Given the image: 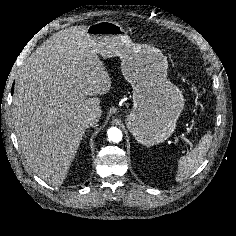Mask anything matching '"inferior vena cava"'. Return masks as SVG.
<instances>
[{"label": "inferior vena cava", "mask_w": 236, "mask_h": 236, "mask_svg": "<svg viewBox=\"0 0 236 236\" xmlns=\"http://www.w3.org/2000/svg\"><path fill=\"white\" fill-rule=\"evenodd\" d=\"M100 115H98L96 112L89 111L85 113L82 117V123L83 126L89 127L93 126L99 121Z\"/></svg>", "instance_id": "inferior-vena-cava-1"}]
</instances>
